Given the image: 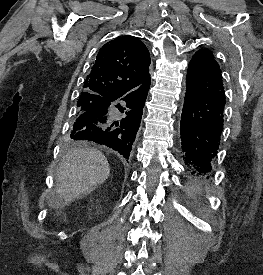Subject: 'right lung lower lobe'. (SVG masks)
Listing matches in <instances>:
<instances>
[{
	"label": "right lung lower lobe",
	"instance_id": "98d812e1",
	"mask_svg": "<svg viewBox=\"0 0 263 275\" xmlns=\"http://www.w3.org/2000/svg\"><path fill=\"white\" fill-rule=\"evenodd\" d=\"M149 87L150 80L135 94L110 97L106 100L104 108L79 114L72 127L70 138L105 145L128 159L140 126ZM117 99L124 101L126 106L116 104L114 101ZM112 106H116L124 113V118L118 120L113 118L110 114Z\"/></svg>",
	"mask_w": 263,
	"mask_h": 275
}]
</instances>
